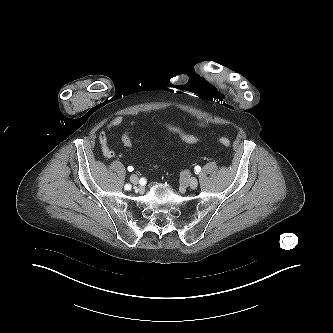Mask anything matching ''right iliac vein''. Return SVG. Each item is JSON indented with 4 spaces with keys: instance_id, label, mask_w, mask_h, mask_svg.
<instances>
[{
    "instance_id": "1",
    "label": "right iliac vein",
    "mask_w": 333,
    "mask_h": 333,
    "mask_svg": "<svg viewBox=\"0 0 333 333\" xmlns=\"http://www.w3.org/2000/svg\"><path fill=\"white\" fill-rule=\"evenodd\" d=\"M130 180L134 185H137L139 182V179L136 175H131Z\"/></svg>"
}]
</instances>
